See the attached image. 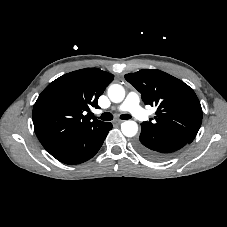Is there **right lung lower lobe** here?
<instances>
[{
  "label": "right lung lower lobe",
  "mask_w": 227,
  "mask_h": 227,
  "mask_svg": "<svg viewBox=\"0 0 227 227\" xmlns=\"http://www.w3.org/2000/svg\"><path fill=\"white\" fill-rule=\"evenodd\" d=\"M111 129L112 124L106 122L99 127L84 130L49 153L65 164L75 165L85 162L98 152Z\"/></svg>",
  "instance_id": "98d812e1"
}]
</instances>
